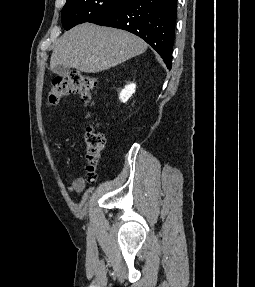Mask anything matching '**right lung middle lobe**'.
I'll return each mask as SVG.
<instances>
[{
  "label": "right lung middle lobe",
  "mask_w": 255,
  "mask_h": 287,
  "mask_svg": "<svg viewBox=\"0 0 255 287\" xmlns=\"http://www.w3.org/2000/svg\"><path fill=\"white\" fill-rule=\"evenodd\" d=\"M126 0H67L62 9V25L69 30L72 27L91 22L102 13L110 10Z\"/></svg>",
  "instance_id": "right-lung-middle-lobe-1"
}]
</instances>
